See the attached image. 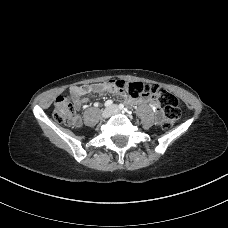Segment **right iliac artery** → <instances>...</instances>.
<instances>
[{
	"label": "right iliac artery",
	"instance_id": "obj_1",
	"mask_svg": "<svg viewBox=\"0 0 228 228\" xmlns=\"http://www.w3.org/2000/svg\"><path fill=\"white\" fill-rule=\"evenodd\" d=\"M112 104H113V101L112 100H107L104 105H105V107H109Z\"/></svg>",
	"mask_w": 228,
	"mask_h": 228
}]
</instances>
